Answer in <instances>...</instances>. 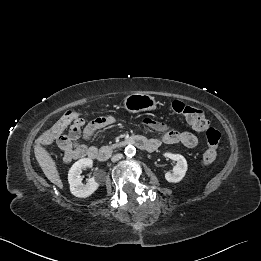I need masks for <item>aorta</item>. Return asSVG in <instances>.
<instances>
[{
	"mask_svg": "<svg viewBox=\"0 0 261 261\" xmlns=\"http://www.w3.org/2000/svg\"><path fill=\"white\" fill-rule=\"evenodd\" d=\"M124 153L127 157H133L136 154V148L133 145H127Z\"/></svg>",
	"mask_w": 261,
	"mask_h": 261,
	"instance_id": "obj_1",
	"label": "aorta"
}]
</instances>
